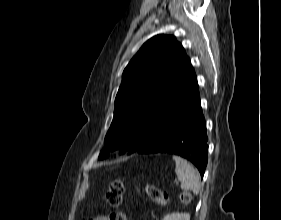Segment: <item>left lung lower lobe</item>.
<instances>
[{
    "instance_id": "obj_1",
    "label": "left lung lower lobe",
    "mask_w": 281,
    "mask_h": 220,
    "mask_svg": "<svg viewBox=\"0 0 281 220\" xmlns=\"http://www.w3.org/2000/svg\"><path fill=\"white\" fill-rule=\"evenodd\" d=\"M207 140L199 87L194 75L165 113L154 137L136 152L180 155L191 161L203 177L207 165Z\"/></svg>"
}]
</instances>
